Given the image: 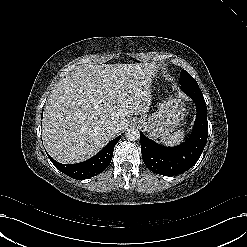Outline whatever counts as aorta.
I'll return each mask as SVG.
<instances>
[{
  "instance_id": "1",
  "label": "aorta",
  "mask_w": 247,
  "mask_h": 247,
  "mask_svg": "<svg viewBox=\"0 0 247 247\" xmlns=\"http://www.w3.org/2000/svg\"><path fill=\"white\" fill-rule=\"evenodd\" d=\"M125 137L129 141H136L140 137L139 130L136 128H129L125 133Z\"/></svg>"
}]
</instances>
